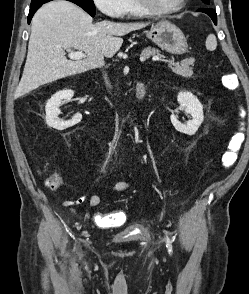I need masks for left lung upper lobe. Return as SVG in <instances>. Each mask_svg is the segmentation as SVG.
Returning a JSON list of instances; mask_svg holds the SVG:
<instances>
[{
	"mask_svg": "<svg viewBox=\"0 0 249 294\" xmlns=\"http://www.w3.org/2000/svg\"><path fill=\"white\" fill-rule=\"evenodd\" d=\"M202 2H204L205 4H209L210 0H201Z\"/></svg>",
	"mask_w": 249,
	"mask_h": 294,
	"instance_id": "1",
	"label": "left lung upper lobe"
}]
</instances>
